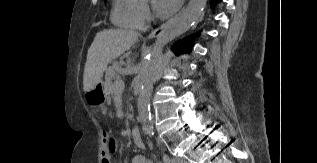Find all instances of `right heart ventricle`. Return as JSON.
Segmentation results:
<instances>
[{
  "mask_svg": "<svg viewBox=\"0 0 317 163\" xmlns=\"http://www.w3.org/2000/svg\"><path fill=\"white\" fill-rule=\"evenodd\" d=\"M143 0H114L111 20L114 25L127 29H143L145 22L140 16Z\"/></svg>",
  "mask_w": 317,
  "mask_h": 163,
  "instance_id": "obj_1",
  "label": "right heart ventricle"
}]
</instances>
